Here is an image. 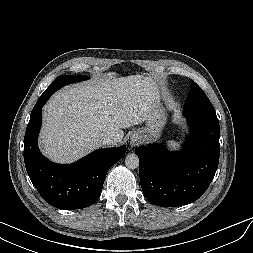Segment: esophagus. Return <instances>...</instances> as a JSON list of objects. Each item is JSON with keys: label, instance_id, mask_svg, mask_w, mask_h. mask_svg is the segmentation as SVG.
Returning a JSON list of instances; mask_svg holds the SVG:
<instances>
[{"label": "esophagus", "instance_id": "34e87169", "mask_svg": "<svg viewBox=\"0 0 253 253\" xmlns=\"http://www.w3.org/2000/svg\"><path fill=\"white\" fill-rule=\"evenodd\" d=\"M129 142L131 146H138L141 144V136L137 133H133L130 137Z\"/></svg>", "mask_w": 253, "mask_h": 253}]
</instances>
